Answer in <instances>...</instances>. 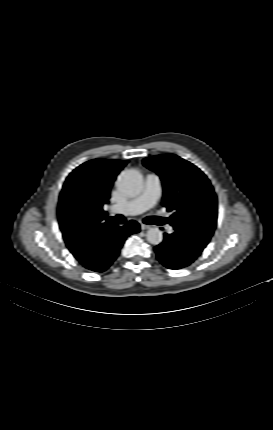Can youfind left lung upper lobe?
<instances>
[{
  "mask_svg": "<svg viewBox=\"0 0 273 430\" xmlns=\"http://www.w3.org/2000/svg\"><path fill=\"white\" fill-rule=\"evenodd\" d=\"M143 164L162 180L163 206L174 212L169 222L175 232L202 251L217 224V197L206 175L174 154L151 156Z\"/></svg>",
  "mask_w": 273,
  "mask_h": 430,
  "instance_id": "1",
  "label": "left lung upper lobe"
}]
</instances>
